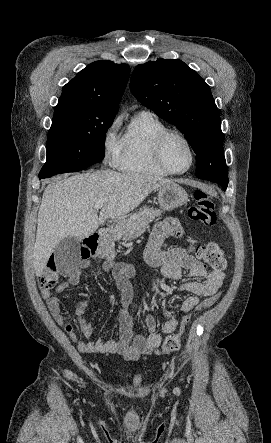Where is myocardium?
Returning a JSON list of instances; mask_svg holds the SVG:
<instances>
[{
	"label": "myocardium",
	"instance_id": "1",
	"mask_svg": "<svg viewBox=\"0 0 271 443\" xmlns=\"http://www.w3.org/2000/svg\"><path fill=\"white\" fill-rule=\"evenodd\" d=\"M171 136H178L180 137L189 147L190 153H191V163L190 165L184 169V170H175L172 169L168 163L166 162L165 158H164V154H163V148H164V144L167 141V139ZM153 154L155 157L156 162L169 174H175V175H179V174H184L187 173L188 171H190L195 164V160H196V152H195V148L192 144V142L190 141V139L184 135L182 132L178 131V130H174V129H166L163 132H161L155 139L154 144H153Z\"/></svg>",
	"mask_w": 271,
	"mask_h": 443
}]
</instances>
